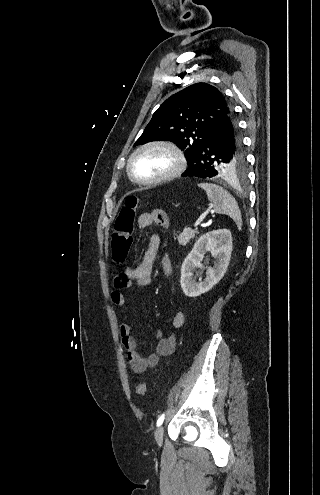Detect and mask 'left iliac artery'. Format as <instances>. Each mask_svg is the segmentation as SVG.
<instances>
[{
	"instance_id": "left-iliac-artery-1",
	"label": "left iliac artery",
	"mask_w": 320,
	"mask_h": 495,
	"mask_svg": "<svg viewBox=\"0 0 320 495\" xmlns=\"http://www.w3.org/2000/svg\"><path fill=\"white\" fill-rule=\"evenodd\" d=\"M164 417H165V413H162L158 420H157V426H160L162 423H163V420H164Z\"/></svg>"
}]
</instances>
